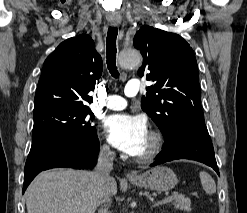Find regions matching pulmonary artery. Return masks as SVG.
<instances>
[{"mask_svg":"<svg viewBox=\"0 0 247 213\" xmlns=\"http://www.w3.org/2000/svg\"><path fill=\"white\" fill-rule=\"evenodd\" d=\"M139 89L140 87L138 79H132L125 86L124 92L127 97H134L138 94ZM103 105L104 107L111 110H121L126 107L127 102L121 96L108 95Z\"/></svg>","mask_w":247,"mask_h":213,"instance_id":"1","label":"pulmonary artery"}]
</instances>
